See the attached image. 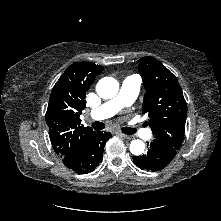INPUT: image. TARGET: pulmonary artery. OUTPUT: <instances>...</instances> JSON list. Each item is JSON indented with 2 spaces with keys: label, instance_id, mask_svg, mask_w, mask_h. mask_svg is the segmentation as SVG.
I'll use <instances>...</instances> for the list:
<instances>
[{
  "label": "pulmonary artery",
  "instance_id": "obj_1",
  "mask_svg": "<svg viewBox=\"0 0 221 221\" xmlns=\"http://www.w3.org/2000/svg\"><path fill=\"white\" fill-rule=\"evenodd\" d=\"M141 85V79L137 75L127 77L121 85L119 93L111 100L102 104L99 108L91 112L93 119L101 120L106 119L124 107L130 106L138 96ZM136 131H139L141 135H146L147 132L139 130L137 127Z\"/></svg>",
  "mask_w": 221,
  "mask_h": 221
}]
</instances>
